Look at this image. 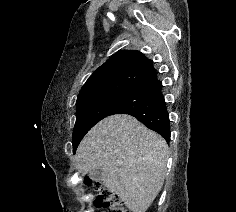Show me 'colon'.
Wrapping results in <instances>:
<instances>
[{
	"mask_svg": "<svg viewBox=\"0 0 236 212\" xmlns=\"http://www.w3.org/2000/svg\"><path fill=\"white\" fill-rule=\"evenodd\" d=\"M84 184L95 193L97 206L105 208L107 212H128L119 198L113 192L104 188L99 182L87 177L84 179Z\"/></svg>",
	"mask_w": 236,
	"mask_h": 212,
	"instance_id": "5ec220e1",
	"label": "colon"
}]
</instances>
